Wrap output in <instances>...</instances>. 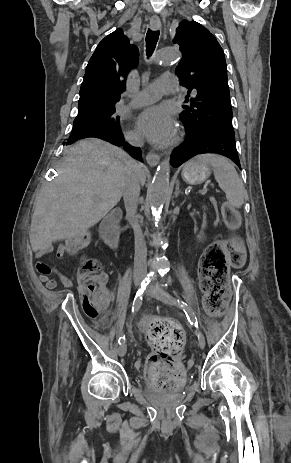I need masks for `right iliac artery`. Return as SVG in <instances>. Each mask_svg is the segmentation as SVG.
<instances>
[{
	"label": "right iliac artery",
	"instance_id": "right-iliac-artery-1",
	"mask_svg": "<svg viewBox=\"0 0 291 463\" xmlns=\"http://www.w3.org/2000/svg\"><path fill=\"white\" fill-rule=\"evenodd\" d=\"M150 282V278L149 277H146L145 279H143V281L141 282V285H140V288L138 289L137 293H136V296L134 298V301H133V307H132V312L134 311H138L139 308L141 307V304H142V295H143V292L145 291L147 285L149 284ZM125 342V336H121L118 340V343L121 345Z\"/></svg>",
	"mask_w": 291,
	"mask_h": 463
}]
</instances>
